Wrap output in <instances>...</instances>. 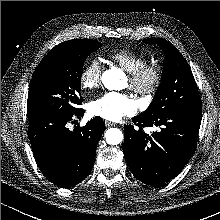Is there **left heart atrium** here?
<instances>
[{"mask_svg":"<svg viewBox=\"0 0 220 220\" xmlns=\"http://www.w3.org/2000/svg\"><path fill=\"white\" fill-rule=\"evenodd\" d=\"M136 109V102L130 96L117 92L106 93L89 105L91 114L110 121L133 115Z\"/></svg>","mask_w":220,"mask_h":220,"instance_id":"39dd6f15","label":"left heart atrium"}]
</instances>
